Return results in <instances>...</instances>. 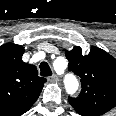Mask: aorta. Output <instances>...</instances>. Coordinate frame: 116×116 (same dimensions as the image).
<instances>
[{"label": "aorta", "mask_w": 116, "mask_h": 116, "mask_svg": "<svg viewBox=\"0 0 116 116\" xmlns=\"http://www.w3.org/2000/svg\"><path fill=\"white\" fill-rule=\"evenodd\" d=\"M65 87L69 94H73L79 87V82L73 75H67L65 79Z\"/></svg>", "instance_id": "obj_1"}]
</instances>
